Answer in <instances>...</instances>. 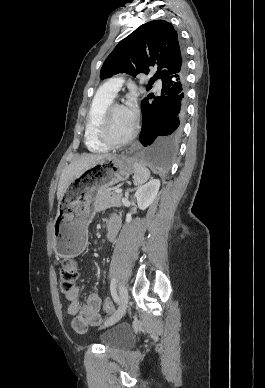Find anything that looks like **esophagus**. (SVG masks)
I'll list each match as a JSON object with an SVG mask.
<instances>
[{
	"instance_id": "obj_1",
	"label": "esophagus",
	"mask_w": 265,
	"mask_h": 388,
	"mask_svg": "<svg viewBox=\"0 0 265 388\" xmlns=\"http://www.w3.org/2000/svg\"><path fill=\"white\" fill-rule=\"evenodd\" d=\"M138 148H140V144H138V143L133 144V145L129 148V153H133V152L136 151Z\"/></svg>"
}]
</instances>
